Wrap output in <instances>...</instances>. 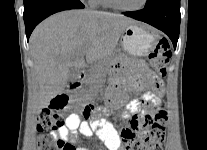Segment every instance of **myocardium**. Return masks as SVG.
<instances>
[{"label":"myocardium","mask_w":207,"mask_h":150,"mask_svg":"<svg viewBox=\"0 0 207 150\" xmlns=\"http://www.w3.org/2000/svg\"><path fill=\"white\" fill-rule=\"evenodd\" d=\"M109 2L113 7H115L118 10H121L124 12H137V11H140L146 7L148 0H143L141 5H139L138 7H135V8L123 7L122 5L119 4V2L117 0H109Z\"/></svg>","instance_id":"1"}]
</instances>
